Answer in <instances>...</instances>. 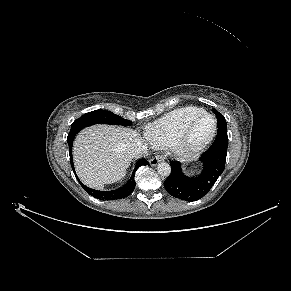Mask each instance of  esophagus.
Segmentation results:
<instances>
[{
    "instance_id": "34e87169",
    "label": "esophagus",
    "mask_w": 291,
    "mask_h": 291,
    "mask_svg": "<svg viewBox=\"0 0 291 291\" xmlns=\"http://www.w3.org/2000/svg\"><path fill=\"white\" fill-rule=\"evenodd\" d=\"M162 160H164V158L162 156H155L153 158H151L149 160V163L151 166H156L159 162H161Z\"/></svg>"
}]
</instances>
